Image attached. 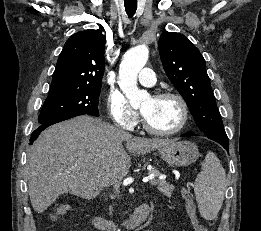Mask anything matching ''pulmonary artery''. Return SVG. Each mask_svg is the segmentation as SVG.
Here are the masks:
<instances>
[{
	"mask_svg": "<svg viewBox=\"0 0 261 231\" xmlns=\"http://www.w3.org/2000/svg\"><path fill=\"white\" fill-rule=\"evenodd\" d=\"M139 81L143 86H146V87L154 86L156 83L154 71L147 67L143 68L140 71Z\"/></svg>",
	"mask_w": 261,
	"mask_h": 231,
	"instance_id": "e3ab8cb5",
	"label": "pulmonary artery"
}]
</instances>
